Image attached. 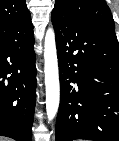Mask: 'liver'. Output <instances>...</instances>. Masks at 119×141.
<instances>
[{"label": "liver", "instance_id": "6515ba94", "mask_svg": "<svg viewBox=\"0 0 119 141\" xmlns=\"http://www.w3.org/2000/svg\"><path fill=\"white\" fill-rule=\"evenodd\" d=\"M0 141H8V140L5 139V138L0 137Z\"/></svg>", "mask_w": 119, "mask_h": 141}]
</instances>
